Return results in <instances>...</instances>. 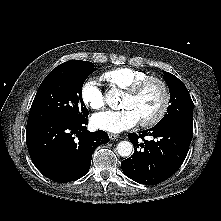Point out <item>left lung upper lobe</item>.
Masks as SVG:
<instances>
[{
    "mask_svg": "<svg viewBox=\"0 0 221 221\" xmlns=\"http://www.w3.org/2000/svg\"><path fill=\"white\" fill-rule=\"evenodd\" d=\"M163 78L170 90L171 104L164 118L156 126L176 122L193 124V102L186 86L169 72L164 71Z\"/></svg>",
    "mask_w": 221,
    "mask_h": 221,
    "instance_id": "left-lung-upper-lobe-1",
    "label": "left lung upper lobe"
}]
</instances>
